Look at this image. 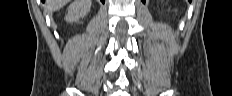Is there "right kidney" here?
Returning a JSON list of instances; mask_svg holds the SVG:
<instances>
[{
	"mask_svg": "<svg viewBox=\"0 0 232 96\" xmlns=\"http://www.w3.org/2000/svg\"><path fill=\"white\" fill-rule=\"evenodd\" d=\"M91 8V0H74L68 7V13L65 20L68 22H77L81 17H84Z\"/></svg>",
	"mask_w": 232,
	"mask_h": 96,
	"instance_id": "1",
	"label": "right kidney"
}]
</instances>
